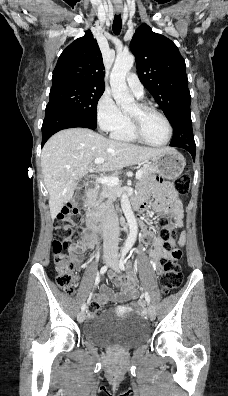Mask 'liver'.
Wrapping results in <instances>:
<instances>
[{
  "label": "liver",
  "instance_id": "obj_1",
  "mask_svg": "<svg viewBox=\"0 0 228 396\" xmlns=\"http://www.w3.org/2000/svg\"><path fill=\"white\" fill-rule=\"evenodd\" d=\"M170 149L142 147L108 139L87 128H70L56 133L46 142L41 155L52 220L72 199L77 181L87 175L95 159L105 160L97 172H118Z\"/></svg>",
  "mask_w": 228,
  "mask_h": 396
}]
</instances>
